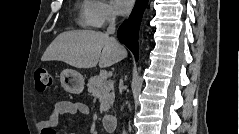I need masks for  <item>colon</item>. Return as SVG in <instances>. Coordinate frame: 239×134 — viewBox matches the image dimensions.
<instances>
[{
	"instance_id": "5ec220e1",
	"label": "colon",
	"mask_w": 239,
	"mask_h": 134,
	"mask_svg": "<svg viewBox=\"0 0 239 134\" xmlns=\"http://www.w3.org/2000/svg\"><path fill=\"white\" fill-rule=\"evenodd\" d=\"M35 87L38 92H46L52 85V78L47 70L38 69L35 72Z\"/></svg>"
}]
</instances>
